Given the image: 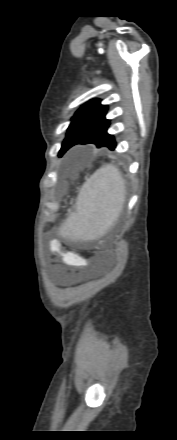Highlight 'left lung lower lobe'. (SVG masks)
I'll return each instance as SVG.
<instances>
[{
  "instance_id": "obj_1",
  "label": "left lung lower lobe",
  "mask_w": 177,
  "mask_h": 440,
  "mask_svg": "<svg viewBox=\"0 0 177 440\" xmlns=\"http://www.w3.org/2000/svg\"><path fill=\"white\" fill-rule=\"evenodd\" d=\"M110 123L96 129L85 138L80 140L77 144H95L97 148L107 147L110 150H114L116 147V141L113 135L108 134L107 129Z\"/></svg>"
}]
</instances>
